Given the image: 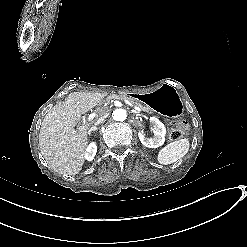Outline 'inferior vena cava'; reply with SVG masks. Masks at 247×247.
I'll return each mask as SVG.
<instances>
[{
    "mask_svg": "<svg viewBox=\"0 0 247 247\" xmlns=\"http://www.w3.org/2000/svg\"><path fill=\"white\" fill-rule=\"evenodd\" d=\"M105 118H106V116H102V117L98 118V120L94 124L95 125L94 128H97L96 126L101 124L105 120Z\"/></svg>",
    "mask_w": 247,
    "mask_h": 247,
    "instance_id": "1",
    "label": "inferior vena cava"
}]
</instances>
